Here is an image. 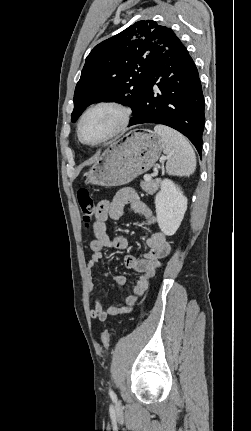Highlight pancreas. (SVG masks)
Listing matches in <instances>:
<instances>
[{
  "label": "pancreas",
  "instance_id": "cf45deb5",
  "mask_svg": "<svg viewBox=\"0 0 251 431\" xmlns=\"http://www.w3.org/2000/svg\"><path fill=\"white\" fill-rule=\"evenodd\" d=\"M159 184H160L159 179L149 180V181L145 180L140 182V186L142 190H144L150 195H153L158 190Z\"/></svg>",
  "mask_w": 251,
  "mask_h": 431
}]
</instances>
